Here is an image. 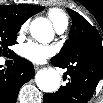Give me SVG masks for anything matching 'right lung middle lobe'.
Here are the masks:
<instances>
[{"mask_svg": "<svg viewBox=\"0 0 103 103\" xmlns=\"http://www.w3.org/2000/svg\"><path fill=\"white\" fill-rule=\"evenodd\" d=\"M21 25L12 23L0 17V56L7 52L12 53L9 46L16 43L17 32Z\"/></svg>", "mask_w": 103, "mask_h": 103, "instance_id": "dd1d6c3e", "label": "right lung middle lobe"}]
</instances>
